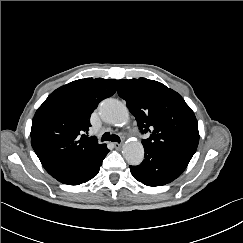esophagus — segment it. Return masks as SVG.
<instances>
[{"mask_svg":"<svg viewBox=\"0 0 243 243\" xmlns=\"http://www.w3.org/2000/svg\"><path fill=\"white\" fill-rule=\"evenodd\" d=\"M113 145L116 149H120L122 147L120 143H114Z\"/></svg>","mask_w":243,"mask_h":243,"instance_id":"esophagus-1","label":"esophagus"}]
</instances>
